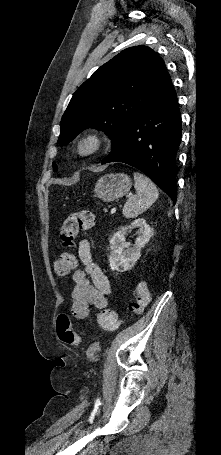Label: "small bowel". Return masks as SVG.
<instances>
[{"mask_svg": "<svg viewBox=\"0 0 221 455\" xmlns=\"http://www.w3.org/2000/svg\"><path fill=\"white\" fill-rule=\"evenodd\" d=\"M78 256L82 267L73 274L70 313L76 319L83 320L90 316L92 307L99 310L107 308V300L112 293V287L108 277L93 261L88 240L80 241Z\"/></svg>", "mask_w": 221, "mask_h": 455, "instance_id": "c3829d8e", "label": "small bowel"}]
</instances>
